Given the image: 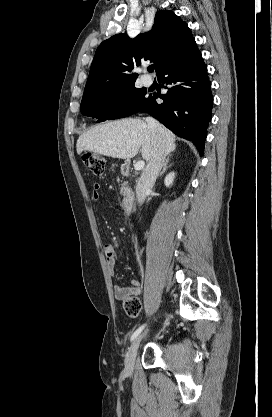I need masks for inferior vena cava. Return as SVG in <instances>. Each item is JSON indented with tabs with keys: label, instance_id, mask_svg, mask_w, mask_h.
<instances>
[{
	"label": "inferior vena cava",
	"instance_id": "obj_1",
	"mask_svg": "<svg viewBox=\"0 0 272 417\" xmlns=\"http://www.w3.org/2000/svg\"><path fill=\"white\" fill-rule=\"evenodd\" d=\"M146 123L152 134L151 157L144 169L136 186L137 201L142 205L147 194L151 191L154 183L164 165L166 150L163 136V128L158 121L152 117L146 118Z\"/></svg>",
	"mask_w": 272,
	"mask_h": 417
}]
</instances>
